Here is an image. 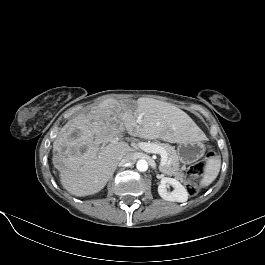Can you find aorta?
<instances>
[{"label": "aorta", "instance_id": "762f6f07", "mask_svg": "<svg viewBox=\"0 0 265 265\" xmlns=\"http://www.w3.org/2000/svg\"><path fill=\"white\" fill-rule=\"evenodd\" d=\"M136 168L140 172H145L148 169V162L145 159H139L136 163Z\"/></svg>", "mask_w": 265, "mask_h": 265}]
</instances>
